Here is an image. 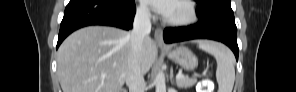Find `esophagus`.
<instances>
[{
    "mask_svg": "<svg viewBox=\"0 0 296 92\" xmlns=\"http://www.w3.org/2000/svg\"><path fill=\"white\" fill-rule=\"evenodd\" d=\"M154 38H155L156 43L159 46H165L164 39H163V32H162L161 28H156L155 29Z\"/></svg>",
    "mask_w": 296,
    "mask_h": 92,
    "instance_id": "34e87169",
    "label": "esophagus"
}]
</instances>
